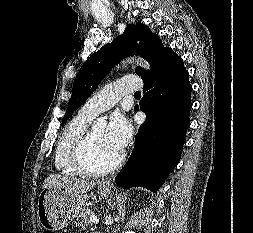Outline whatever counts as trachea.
<instances>
[{
	"label": "trachea",
	"mask_w": 253,
	"mask_h": 233,
	"mask_svg": "<svg viewBox=\"0 0 253 233\" xmlns=\"http://www.w3.org/2000/svg\"><path fill=\"white\" fill-rule=\"evenodd\" d=\"M134 95H141V92L137 91Z\"/></svg>",
	"instance_id": "trachea-1"
}]
</instances>
